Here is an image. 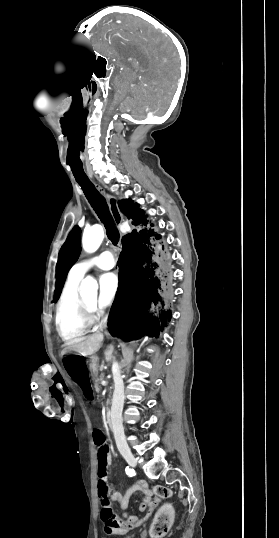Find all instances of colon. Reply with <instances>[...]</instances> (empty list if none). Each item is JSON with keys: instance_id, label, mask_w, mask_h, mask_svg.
<instances>
[{"instance_id": "obj_1", "label": "colon", "mask_w": 279, "mask_h": 538, "mask_svg": "<svg viewBox=\"0 0 279 538\" xmlns=\"http://www.w3.org/2000/svg\"><path fill=\"white\" fill-rule=\"evenodd\" d=\"M93 439L98 457V493L102 506V515L106 517H111L114 515V512L109 500V484L106 475L107 458L110 454L109 446L104 433L100 430H95L93 432ZM155 493L161 497H167L170 494L169 490L164 487H156ZM170 520L171 515L169 514L168 509L162 510V512L156 519L154 525L152 526V535L160 536L164 534L169 527Z\"/></svg>"}]
</instances>
